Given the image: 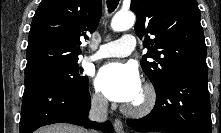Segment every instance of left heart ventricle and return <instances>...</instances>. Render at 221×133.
<instances>
[{
    "label": "left heart ventricle",
    "instance_id": "left-heart-ventricle-1",
    "mask_svg": "<svg viewBox=\"0 0 221 133\" xmlns=\"http://www.w3.org/2000/svg\"><path fill=\"white\" fill-rule=\"evenodd\" d=\"M141 98H142V92H141V94L138 96V98H137L136 100H134L131 104H134V103L139 102V101L141 100Z\"/></svg>",
    "mask_w": 221,
    "mask_h": 133
}]
</instances>
